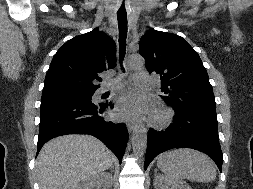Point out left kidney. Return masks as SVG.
Instances as JSON below:
<instances>
[{
    "label": "left kidney",
    "mask_w": 253,
    "mask_h": 189,
    "mask_svg": "<svg viewBox=\"0 0 253 189\" xmlns=\"http://www.w3.org/2000/svg\"><path fill=\"white\" fill-rule=\"evenodd\" d=\"M155 189H192L182 180H173L168 176L158 175L154 180Z\"/></svg>",
    "instance_id": "left-kidney-1"
}]
</instances>
